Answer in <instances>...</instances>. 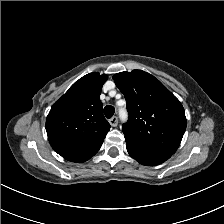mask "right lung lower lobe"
Returning a JSON list of instances; mask_svg holds the SVG:
<instances>
[{"label": "right lung lower lobe", "instance_id": "right-lung-lower-lobe-1", "mask_svg": "<svg viewBox=\"0 0 224 224\" xmlns=\"http://www.w3.org/2000/svg\"><path fill=\"white\" fill-rule=\"evenodd\" d=\"M52 148L63 158L73 162H84L90 159L100 149L101 145L94 149H88L79 142L65 136L48 137Z\"/></svg>", "mask_w": 224, "mask_h": 224}]
</instances>
